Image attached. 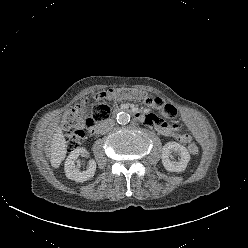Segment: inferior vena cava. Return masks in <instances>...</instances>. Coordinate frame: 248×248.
Returning <instances> with one entry per match:
<instances>
[{"label":"inferior vena cava","instance_id":"1","mask_svg":"<svg viewBox=\"0 0 248 248\" xmlns=\"http://www.w3.org/2000/svg\"><path fill=\"white\" fill-rule=\"evenodd\" d=\"M114 125H115V122L113 119H106L99 124V131L100 133L105 134L109 130H111Z\"/></svg>","mask_w":248,"mask_h":248}]
</instances>
